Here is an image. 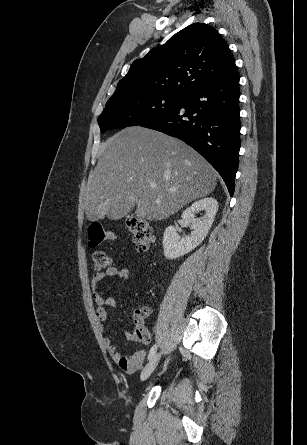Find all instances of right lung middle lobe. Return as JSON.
Wrapping results in <instances>:
<instances>
[{
	"mask_svg": "<svg viewBox=\"0 0 307 445\" xmlns=\"http://www.w3.org/2000/svg\"><path fill=\"white\" fill-rule=\"evenodd\" d=\"M183 98L184 96L166 94L111 97L98 117L101 132L155 120L177 107Z\"/></svg>",
	"mask_w": 307,
	"mask_h": 445,
	"instance_id": "1",
	"label": "right lung middle lobe"
}]
</instances>
